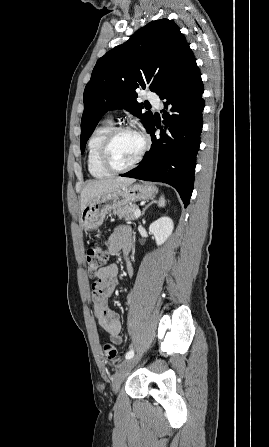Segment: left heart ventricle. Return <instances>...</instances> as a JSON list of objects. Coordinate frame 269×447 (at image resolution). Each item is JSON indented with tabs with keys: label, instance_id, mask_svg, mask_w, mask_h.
<instances>
[{
	"label": "left heart ventricle",
	"instance_id": "b2bd125f",
	"mask_svg": "<svg viewBox=\"0 0 269 447\" xmlns=\"http://www.w3.org/2000/svg\"><path fill=\"white\" fill-rule=\"evenodd\" d=\"M144 146V137L136 129L122 131L116 135L111 145V160L117 166L131 164Z\"/></svg>",
	"mask_w": 269,
	"mask_h": 447
}]
</instances>
